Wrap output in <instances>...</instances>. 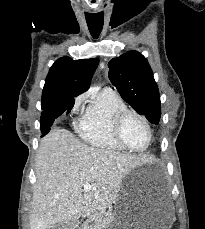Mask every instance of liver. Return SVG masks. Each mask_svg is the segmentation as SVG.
<instances>
[{"instance_id":"1","label":"liver","mask_w":205,"mask_h":229,"mask_svg":"<svg viewBox=\"0 0 205 229\" xmlns=\"http://www.w3.org/2000/svg\"><path fill=\"white\" fill-rule=\"evenodd\" d=\"M141 163L139 157L90 147L68 130L52 129L36 157L30 229H49L106 209L116 202L126 174ZM85 184L95 189L84 192Z\"/></svg>"}]
</instances>
